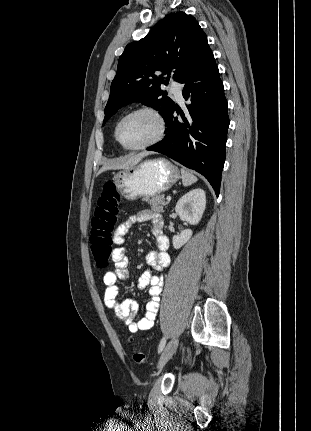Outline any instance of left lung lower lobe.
<instances>
[{"label":"left lung lower lobe","mask_w":311,"mask_h":431,"mask_svg":"<svg viewBox=\"0 0 311 431\" xmlns=\"http://www.w3.org/2000/svg\"><path fill=\"white\" fill-rule=\"evenodd\" d=\"M180 83L189 100L185 111L173 105L167 114L165 138L147 148L204 175L219 195L229 118L223 83L213 53L206 50ZM181 114L182 120L173 116Z\"/></svg>","instance_id":"0a47b994"}]
</instances>
